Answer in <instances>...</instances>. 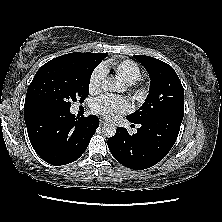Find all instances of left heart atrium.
Wrapping results in <instances>:
<instances>
[{
	"label": "left heart atrium",
	"mask_w": 222,
	"mask_h": 222,
	"mask_svg": "<svg viewBox=\"0 0 222 222\" xmlns=\"http://www.w3.org/2000/svg\"><path fill=\"white\" fill-rule=\"evenodd\" d=\"M94 112L102 115L106 119H115L122 113L129 110V103L120 97L115 96H102L96 99L92 106Z\"/></svg>",
	"instance_id": "39dd6f15"
}]
</instances>
